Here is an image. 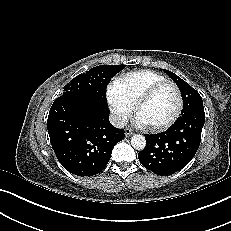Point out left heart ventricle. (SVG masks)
<instances>
[{
	"label": "left heart ventricle",
	"instance_id": "1",
	"mask_svg": "<svg viewBox=\"0 0 231 231\" xmlns=\"http://www.w3.org/2000/svg\"><path fill=\"white\" fill-rule=\"evenodd\" d=\"M176 105V94L169 85L161 86L147 101L141 115L151 120L153 124H162L172 115Z\"/></svg>",
	"mask_w": 231,
	"mask_h": 231
}]
</instances>
